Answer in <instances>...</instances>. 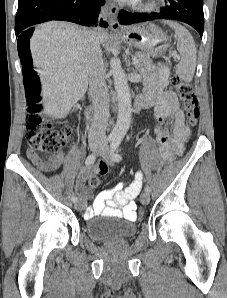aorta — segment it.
<instances>
[{"label":"aorta","mask_w":227,"mask_h":298,"mask_svg":"<svg viewBox=\"0 0 227 298\" xmlns=\"http://www.w3.org/2000/svg\"><path fill=\"white\" fill-rule=\"evenodd\" d=\"M110 73L113 76L118 101L117 122L110 133V137L115 140H122L131 124V95L127 77L119 59L112 58L110 60Z\"/></svg>","instance_id":"762f6f07"}]
</instances>
